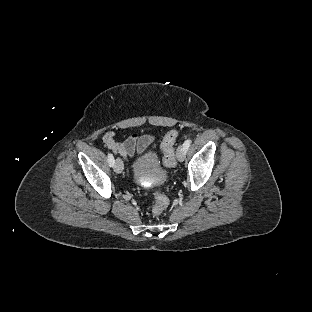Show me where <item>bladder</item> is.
<instances>
[{
  "instance_id": "obj_1",
  "label": "bladder",
  "mask_w": 312,
  "mask_h": 312,
  "mask_svg": "<svg viewBox=\"0 0 312 312\" xmlns=\"http://www.w3.org/2000/svg\"><path fill=\"white\" fill-rule=\"evenodd\" d=\"M137 173L138 175L161 174L158 155H147L143 161L139 162Z\"/></svg>"
}]
</instances>
